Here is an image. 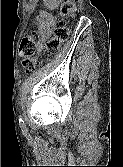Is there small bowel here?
Wrapping results in <instances>:
<instances>
[{
	"instance_id": "obj_1",
	"label": "small bowel",
	"mask_w": 123,
	"mask_h": 167,
	"mask_svg": "<svg viewBox=\"0 0 123 167\" xmlns=\"http://www.w3.org/2000/svg\"><path fill=\"white\" fill-rule=\"evenodd\" d=\"M51 3L56 0H49ZM38 28L36 30L37 44L36 49L38 52L43 51L45 42L51 37L56 21L53 15L49 13H41L37 17Z\"/></svg>"
}]
</instances>
